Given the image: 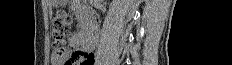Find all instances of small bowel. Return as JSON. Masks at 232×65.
Here are the masks:
<instances>
[{
  "instance_id": "1",
  "label": "small bowel",
  "mask_w": 232,
  "mask_h": 65,
  "mask_svg": "<svg viewBox=\"0 0 232 65\" xmlns=\"http://www.w3.org/2000/svg\"><path fill=\"white\" fill-rule=\"evenodd\" d=\"M70 44L72 46L83 45V47H84V40H83L82 34L77 33V34L72 35L70 38ZM91 51H93V50H91ZM91 51H88V52H91Z\"/></svg>"
}]
</instances>
